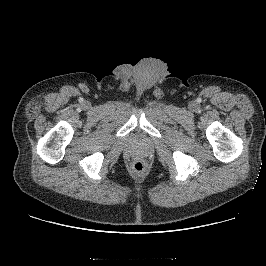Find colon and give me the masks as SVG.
<instances>
[{
	"label": "colon",
	"instance_id": "obj_1",
	"mask_svg": "<svg viewBox=\"0 0 266 266\" xmlns=\"http://www.w3.org/2000/svg\"><path fill=\"white\" fill-rule=\"evenodd\" d=\"M132 171L137 175H142L146 171V164L141 160L132 163Z\"/></svg>",
	"mask_w": 266,
	"mask_h": 266
}]
</instances>
